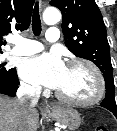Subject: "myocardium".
I'll use <instances>...</instances> for the list:
<instances>
[{"instance_id": "1", "label": "myocardium", "mask_w": 117, "mask_h": 131, "mask_svg": "<svg viewBox=\"0 0 117 131\" xmlns=\"http://www.w3.org/2000/svg\"><path fill=\"white\" fill-rule=\"evenodd\" d=\"M67 66H82L88 69L96 80V93L93 97L85 100L67 97L60 93L58 90L55 91V96L64 103L79 107H90L99 103L105 94V81L98 67L92 62L82 59H72L68 61Z\"/></svg>"}]
</instances>
